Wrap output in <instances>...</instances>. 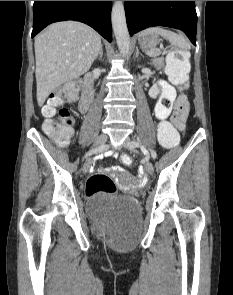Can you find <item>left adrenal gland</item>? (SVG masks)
<instances>
[{"mask_svg": "<svg viewBox=\"0 0 233 295\" xmlns=\"http://www.w3.org/2000/svg\"><path fill=\"white\" fill-rule=\"evenodd\" d=\"M139 55H141V56L143 57V55H142V54H140V52H139L138 48H136V54H135V57L137 58V57H139Z\"/></svg>", "mask_w": 233, "mask_h": 295, "instance_id": "1", "label": "left adrenal gland"}]
</instances>
